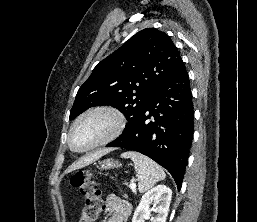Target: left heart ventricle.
Listing matches in <instances>:
<instances>
[{"label":"left heart ventricle","instance_id":"left-heart-ventricle-1","mask_svg":"<svg viewBox=\"0 0 257 222\" xmlns=\"http://www.w3.org/2000/svg\"><path fill=\"white\" fill-rule=\"evenodd\" d=\"M112 127V119L105 114L85 117L75 127L72 144L78 150L86 149L104 138Z\"/></svg>","mask_w":257,"mask_h":222}]
</instances>
